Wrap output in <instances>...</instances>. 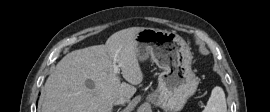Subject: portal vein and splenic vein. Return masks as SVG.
<instances>
[{
  "label": "portal vein and splenic vein",
  "mask_w": 270,
  "mask_h": 112,
  "mask_svg": "<svg viewBox=\"0 0 270 112\" xmlns=\"http://www.w3.org/2000/svg\"><path fill=\"white\" fill-rule=\"evenodd\" d=\"M113 69L115 74L119 73V67L115 63H113Z\"/></svg>",
  "instance_id": "portal-vein-and-splenic-vein-1"
}]
</instances>
